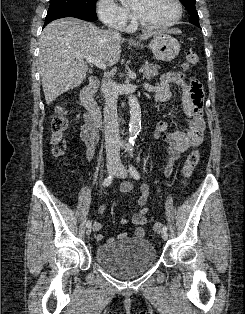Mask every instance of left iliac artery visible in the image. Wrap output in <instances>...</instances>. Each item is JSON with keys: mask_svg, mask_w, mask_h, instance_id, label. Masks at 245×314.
I'll return each instance as SVG.
<instances>
[{"mask_svg": "<svg viewBox=\"0 0 245 314\" xmlns=\"http://www.w3.org/2000/svg\"><path fill=\"white\" fill-rule=\"evenodd\" d=\"M129 171H130L131 176H132L134 179H136V180H139V179H140V174H139V172L137 171V169H136L134 166L130 165V166H129ZM163 230H164V231H167V227L164 226V227H163Z\"/></svg>", "mask_w": 245, "mask_h": 314, "instance_id": "obj_1", "label": "left iliac artery"}]
</instances>
